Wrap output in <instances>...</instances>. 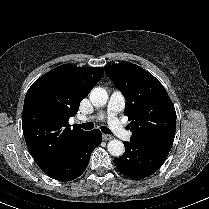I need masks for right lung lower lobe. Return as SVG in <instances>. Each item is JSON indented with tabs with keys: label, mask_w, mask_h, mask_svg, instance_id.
Here are the masks:
<instances>
[{
	"label": "right lung lower lobe",
	"mask_w": 209,
	"mask_h": 209,
	"mask_svg": "<svg viewBox=\"0 0 209 209\" xmlns=\"http://www.w3.org/2000/svg\"><path fill=\"white\" fill-rule=\"evenodd\" d=\"M102 142L98 129L83 133L66 154L45 173L59 181H70L79 177L87 168L91 151Z\"/></svg>",
	"instance_id": "1"
}]
</instances>
